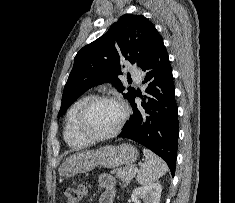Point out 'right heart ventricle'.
Instances as JSON below:
<instances>
[{
	"mask_svg": "<svg viewBox=\"0 0 235 203\" xmlns=\"http://www.w3.org/2000/svg\"><path fill=\"white\" fill-rule=\"evenodd\" d=\"M91 97L90 94L81 96L68 109L63 135L66 143L72 148H81L89 144V141L77 134L75 121L80 108Z\"/></svg>",
	"mask_w": 235,
	"mask_h": 203,
	"instance_id": "e07e8e85",
	"label": "right heart ventricle"
}]
</instances>
